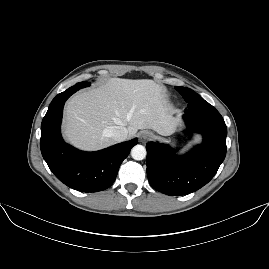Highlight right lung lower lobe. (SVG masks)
<instances>
[{
  "label": "right lung lower lobe",
  "mask_w": 269,
  "mask_h": 269,
  "mask_svg": "<svg viewBox=\"0 0 269 269\" xmlns=\"http://www.w3.org/2000/svg\"><path fill=\"white\" fill-rule=\"evenodd\" d=\"M84 85L90 83L76 84L52 100L41 124L40 148L50 170L61 182L81 192H98L113 184L137 138L97 152H83L66 144L60 133L63 106Z\"/></svg>",
  "instance_id": "right-lung-lower-lobe-1"
}]
</instances>
